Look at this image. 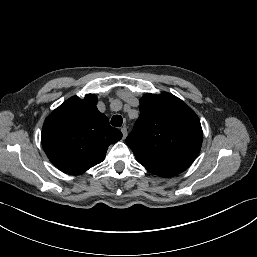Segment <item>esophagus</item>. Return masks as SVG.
Returning <instances> with one entry per match:
<instances>
[{"mask_svg":"<svg viewBox=\"0 0 257 257\" xmlns=\"http://www.w3.org/2000/svg\"><path fill=\"white\" fill-rule=\"evenodd\" d=\"M121 132H122V134H123V139H125L126 136H127V128H126V127H122V128H121Z\"/></svg>","mask_w":257,"mask_h":257,"instance_id":"34e87169","label":"esophagus"}]
</instances>
